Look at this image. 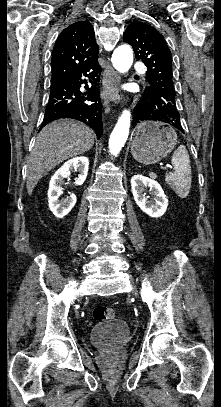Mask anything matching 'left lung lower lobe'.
<instances>
[{
	"instance_id": "1",
	"label": "left lung lower lobe",
	"mask_w": 221,
	"mask_h": 407,
	"mask_svg": "<svg viewBox=\"0 0 221 407\" xmlns=\"http://www.w3.org/2000/svg\"><path fill=\"white\" fill-rule=\"evenodd\" d=\"M175 97L171 86L160 82L148 86L135 108V123L146 120L165 122L184 133Z\"/></svg>"
}]
</instances>
